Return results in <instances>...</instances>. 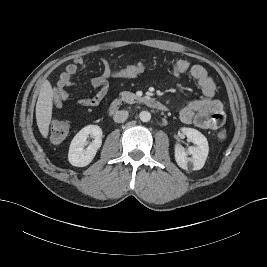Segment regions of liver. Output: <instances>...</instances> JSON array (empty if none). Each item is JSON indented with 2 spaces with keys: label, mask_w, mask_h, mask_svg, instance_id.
<instances>
[{
  "label": "liver",
  "mask_w": 267,
  "mask_h": 267,
  "mask_svg": "<svg viewBox=\"0 0 267 267\" xmlns=\"http://www.w3.org/2000/svg\"><path fill=\"white\" fill-rule=\"evenodd\" d=\"M53 97L52 86L48 80H45L41 86L36 103V121L38 129L44 138H47L49 133V125L52 119Z\"/></svg>",
  "instance_id": "1"
}]
</instances>
